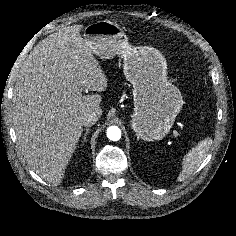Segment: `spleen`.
Wrapping results in <instances>:
<instances>
[{
    "label": "spleen",
    "instance_id": "spleen-1",
    "mask_svg": "<svg viewBox=\"0 0 236 236\" xmlns=\"http://www.w3.org/2000/svg\"><path fill=\"white\" fill-rule=\"evenodd\" d=\"M212 139L206 138L200 141L188 154H186L182 161V170L177 177L179 182L187 179L194 171H196L202 164L203 160L211 147Z\"/></svg>",
    "mask_w": 236,
    "mask_h": 236
}]
</instances>
